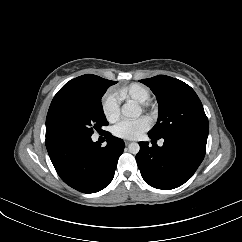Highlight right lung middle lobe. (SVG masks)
<instances>
[{"mask_svg":"<svg viewBox=\"0 0 242 242\" xmlns=\"http://www.w3.org/2000/svg\"><path fill=\"white\" fill-rule=\"evenodd\" d=\"M115 83L112 81L92 92L58 91L47 114L46 137L73 131L92 135L94 130L100 131L107 126L101 97Z\"/></svg>","mask_w":242,"mask_h":242,"instance_id":"dd1d6c3e","label":"right lung middle lobe"}]
</instances>
